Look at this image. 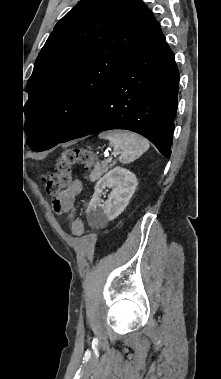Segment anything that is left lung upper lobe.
<instances>
[{"label":"left lung upper lobe","mask_w":221,"mask_h":379,"mask_svg":"<svg viewBox=\"0 0 221 379\" xmlns=\"http://www.w3.org/2000/svg\"><path fill=\"white\" fill-rule=\"evenodd\" d=\"M157 27L140 0H81L54 27L27 82L32 150L57 145Z\"/></svg>","instance_id":"left-lung-upper-lobe-1"}]
</instances>
